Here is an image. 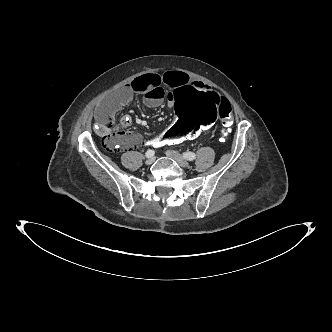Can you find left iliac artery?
Returning a JSON list of instances; mask_svg holds the SVG:
<instances>
[{"label": "left iliac artery", "instance_id": "44dca946", "mask_svg": "<svg viewBox=\"0 0 332 332\" xmlns=\"http://www.w3.org/2000/svg\"><path fill=\"white\" fill-rule=\"evenodd\" d=\"M183 157L189 161H193L196 158V154L193 152H185L183 153Z\"/></svg>", "mask_w": 332, "mask_h": 332}]
</instances>
